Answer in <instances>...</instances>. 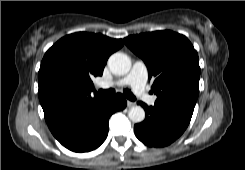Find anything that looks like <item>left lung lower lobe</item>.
Returning <instances> with one entry per match:
<instances>
[{"label": "left lung lower lobe", "instance_id": "1", "mask_svg": "<svg viewBox=\"0 0 245 170\" xmlns=\"http://www.w3.org/2000/svg\"><path fill=\"white\" fill-rule=\"evenodd\" d=\"M146 113L145 120L135 125V135L144 144L151 147H164L174 142L187 128L192 111L155 102L147 106L138 102Z\"/></svg>", "mask_w": 245, "mask_h": 170}]
</instances>
